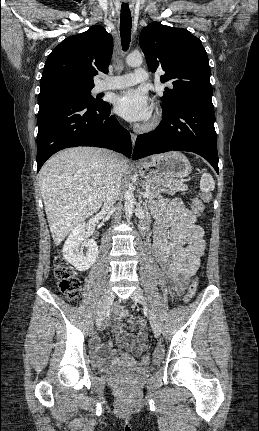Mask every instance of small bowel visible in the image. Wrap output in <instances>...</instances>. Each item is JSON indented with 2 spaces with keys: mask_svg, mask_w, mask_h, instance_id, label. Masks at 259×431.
<instances>
[{
  "mask_svg": "<svg viewBox=\"0 0 259 431\" xmlns=\"http://www.w3.org/2000/svg\"><path fill=\"white\" fill-rule=\"evenodd\" d=\"M203 211V209H202ZM158 219L154 227L153 254L164 274L168 289L173 297L183 294L187 279L200 268L205 251L204 229L197 224L192 209H187L179 199H162L154 206ZM117 318L111 322L116 338L123 350L139 356L146 348L148 339L147 321L131 316L122 309L116 310ZM123 320H128L138 328L137 334L128 332ZM93 347L99 360L125 353H113V343L102 344L98 338Z\"/></svg>",
  "mask_w": 259,
  "mask_h": 431,
  "instance_id": "1",
  "label": "small bowel"
}]
</instances>
